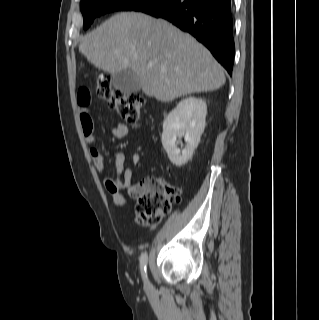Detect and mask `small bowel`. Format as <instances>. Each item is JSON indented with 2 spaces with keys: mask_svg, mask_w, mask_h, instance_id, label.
Masks as SVG:
<instances>
[{
  "mask_svg": "<svg viewBox=\"0 0 319 320\" xmlns=\"http://www.w3.org/2000/svg\"><path fill=\"white\" fill-rule=\"evenodd\" d=\"M92 98L88 88L83 87L78 91L77 104L79 106L78 120L84 132L87 143L92 144L95 141L93 134L95 123L91 114ZM128 127L118 122L114 126L111 134L116 139H121L128 134ZM91 160L96 169L100 172L104 186L112 197L113 204L116 206H124L128 202V197H136L138 193V185L133 184V171L126 165V155L121 150H111L110 154L114 163V175L111 176L105 164V156L103 151L98 147L89 149ZM130 161L133 164L140 162V155L132 153ZM127 189V196L122 194V190Z\"/></svg>",
  "mask_w": 319,
  "mask_h": 320,
  "instance_id": "small-bowel-1",
  "label": "small bowel"
}]
</instances>
